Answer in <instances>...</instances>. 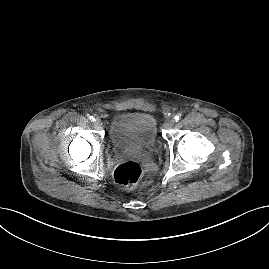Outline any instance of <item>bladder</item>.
Wrapping results in <instances>:
<instances>
[{"label":"bladder","instance_id":"31cf9c89","mask_svg":"<svg viewBox=\"0 0 269 269\" xmlns=\"http://www.w3.org/2000/svg\"><path fill=\"white\" fill-rule=\"evenodd\" d=\"M109 139L119 151L150 150L157 142L156 120L142 112L117 114L110 124Z\"/></svg>","mask_w":269,"mask_h":269}]
</instances>
